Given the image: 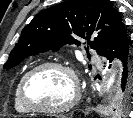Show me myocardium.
Masks as SVG:
<instances>
[{
    "instance_id": "f54148a6",
    "label": "myocardium",
    "mask_w": 133,
    "mask_h": 118,
    "mask_svg": "<svg viewBox=\"0 0 133 118\" xmlns=\"http://www.w3.org/2000/svg\"><path fill=\"white\" fill-rule=\"evenodd\" d=\"M49 68H55V69H60L65 72H67L72 80L73 83V96L72 98L65 104L61 106H56V107H43V106H37L35 105L29 98L28 96V83L30 79L38 72L49 69ZM81 96V86L80 82L78 79V76L74 70L73 67L70 65H67L62 62H57V61H50V62H45L42 64H39L32 69H30L28 72L24 74V76L21 79L20 82V98L22 103L25 105V107L35 113H43V114H57V113H63L66 111L71 110L73 107L76 106L78 103L79 99Z\"/></svg>"
}]
</instances>
